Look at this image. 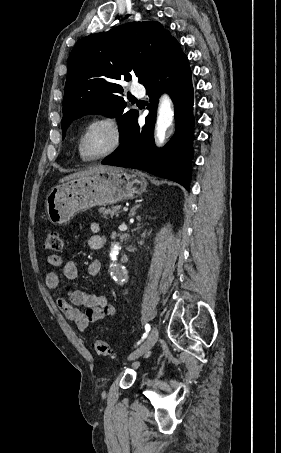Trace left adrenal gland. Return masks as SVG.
Returning <instances> with one entry per match:
<instances>
[{
	"mask_svg": "<svg viewBox=\"0 0 281 453\" xmlns=\"http://www.w3.org/2000/svg\"><path fill=\"white\" fill-rule=\"evenodd\" d=\"M140 204H136V206H133V208H131L130 212H129V216H135L136 212L135 210H137V208H139Z\"/></svg>",
	"mask_w": 281,
	"mask_h": 453,
	"instance_id": "obj_1",
	"label": "left adrenal gland"
}]
</instances>
